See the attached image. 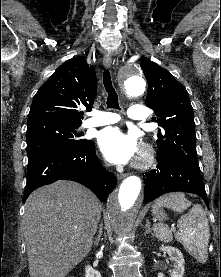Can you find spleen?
Masks as SVG:
<instances>
[{
	"label": "spleen",
	"instance_id": "spleen-1",
	"mask_svg": "<svg viewBox=\"0 0 221 277\" xmlns=\"http://www.w3.org/2000/svg\"><path fill=\"white\" fill-rule=\"evenodd\" d=\"M155 205L167 207L174 212L182 213L192 203L180 192L169 193L160 197ZM179 232L175 238L198 262L205 263L208 258L209 224L204 209L196 204L189 210L188 214L181 216L178 220ZM155 236L164 242L173 239L172 230L163 224L154 225Z\"/></svg>",
	"mask_w": 221,
	"mask_h": 277
}]
</instances>
